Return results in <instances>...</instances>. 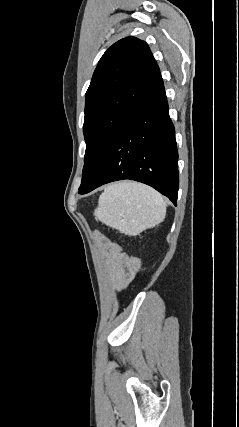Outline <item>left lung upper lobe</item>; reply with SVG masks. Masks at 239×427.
<instances>
[{
    "label": "left lung upper lobe",
    "mask_w": 239,
    "mask_h": 427,
    "mask_svg": "<svg viewBox=\"0 0 239 427\" xmlns=\"http://www.w3.org/2000/svg\"><path fill=\"white\" fill-rule=\"evenodd\" d=\"M162 85L159 67L146 42L126 37L103 54L86 92L85 165L78 192L91 182L120 128Z\"/></svg>",
    "instance_id": "1"
}]
</instances>
